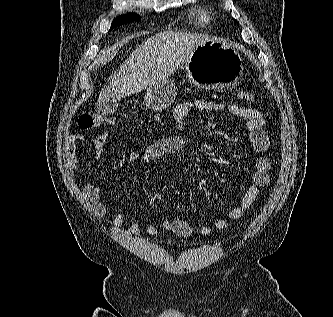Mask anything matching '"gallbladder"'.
<instances>
[{"label":"gallbladder","instance_id":"gallbladder-1","mask_svg":"<svg viewBox=\"0 0 333 317\" xmlns=\"http://www.w3.org/2000/svg\"><path fill=\"white\" fill-rule=\"evenodd\" d=\"M119 102L120 100L117 98L98 102L96 104V112L101 116H109L117 110Z\"/></svg>","mask_w":333,"mask_h":317}]
</instances>
